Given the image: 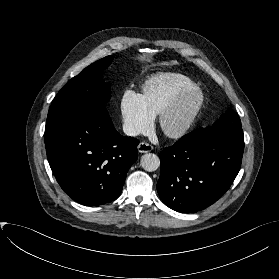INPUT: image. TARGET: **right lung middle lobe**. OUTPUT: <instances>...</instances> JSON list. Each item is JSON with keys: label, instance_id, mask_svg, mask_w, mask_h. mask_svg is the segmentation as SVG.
<instances>
[{"label": "right lung middle lobe", "instance_id": "dd1d6c3e", "mask_svg": "<svg viewBox=\"0 0 279 279\" xmlns=\"http://www.w3.org/2000/svg\"><path fill=\"white\" fill-rule=\"evenodd\" d=\"M113 58L109 55L94 62L66 83L50 106L45 131L55 128L88 105H104L110 99V86L101 79V72Z\"/></svg>", "mask_w": 279, "mask_h": 279}]
</instances>
